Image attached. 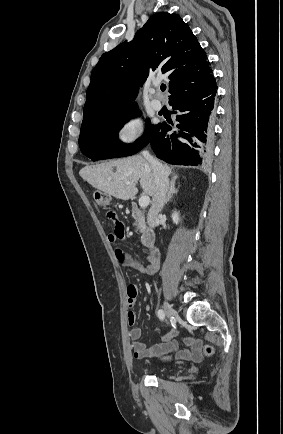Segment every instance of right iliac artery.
<instances>
[{"instance_id":"1","label":"right iliac artery","mask_w":283,"mask_h":434,"mask_svg":"<svg viewBox=\"0 0 283 434\" xmlns=\"http://www.w3.org/2000/svg\"><path fill=\"white\" fill-rule=\"evenodd\" d=\"M157 316H158V318H159L160 320H164V318H165V313H164V311H163L162 309H159V310L157 311Z\"/></svg>"}]
</instances>
